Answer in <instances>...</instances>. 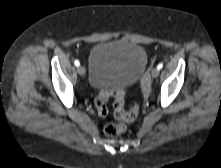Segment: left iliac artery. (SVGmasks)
Listing matches in <instances>:
<instances>
[{
	"instance_id": "left-iliac-artery-1",
	"label": "left iliac artery",
	"mask_w": 221,
	"mask_h": 168,
	"mask_svg": "<svg viewBox=\"0 0 221 168\" xmlns=\"http://www.w3.org/2000/svg\"><path fill=\"white\" fill-rule=\"evenodd\" d=\"M163 67V63L158 64L157 68L160 70Z\"/></svg>"
}]
</instances>
